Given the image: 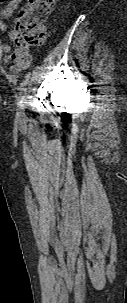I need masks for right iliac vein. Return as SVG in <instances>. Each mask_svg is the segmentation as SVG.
<instances>
[{"label":"right iliac vein","instance_id":"right-iliac-vein-1","mask_svg":"<svg viewBox=\"0 0 127 303\" xmlns=\"http://www.w3.org/2000/svg\"><path fill=\"white\" fill-rule=\"evenodd\" d=\"M24 109H25V100H23L17 109V113H16V118L18 122H23L24 118H25V113H24Z\"/></svg>","mask_w":127,"mask_h":303}]
</instances>
